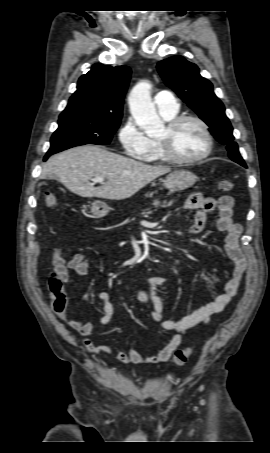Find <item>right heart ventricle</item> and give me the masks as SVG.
<instances>
[{"instance_id": "1", "label": "right heart ventricle", "mask_w": 270, "mask_h": 453, "mask_svg": "<svg viewBox=\"0 0 270 453\" xmlns=\"http://www.w3.org/2000/svg\"><path fill=\"white\" fill-rule=\"evenodd\" d=\"M174 115H162L165 120H170ZM143 162L147 163H165L169 162L163 155L158 141L156 139H150L148 150L144 155L139 158Z\"/></svg>"}]
</instances>
